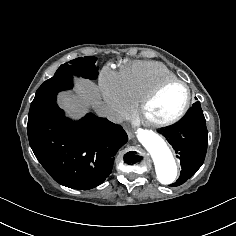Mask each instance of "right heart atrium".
<instances>
[{"instance_id":"1","label":"right heart atrium","mask_w":236,"mask_h":236,"mask_svg":"<svg viewBox=\"0 0 236 236\" xmlns=\"http://www.w3.org/2000/svg\"><path fill=\"white\" fill-rule=\"evenodd\" d=\"M97 89L104 118L116 122L130 114L134 103L128 97L118 72L104 67L98 76Z\"/></svg>"}]
</instances>
